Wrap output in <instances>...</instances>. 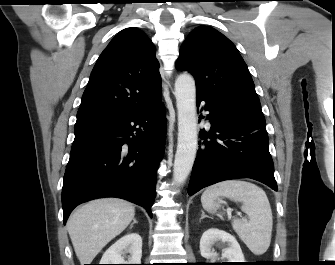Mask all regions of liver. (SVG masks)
Here are the masks:
<instances>
[{"mask_svg":"<svg viewBox=\"0 0 335 265\" xmlns=\"http://www.w3.org/2000/svg\"><path fill=\"white\" fill-rule=\"evenodd\" d=\"M134 216V206L118 198L96 199L79 207L70 216L67 230L81 265L90 264Z\"/></svg>","mask_w":335,"mask_h":265,"instance_id":"6515ba94","label":"liver"}]
</instances>
